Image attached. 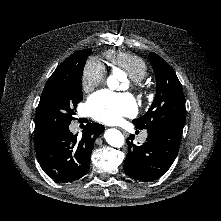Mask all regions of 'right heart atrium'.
<instances>
[{
  "label": "right heart atrium",
  "instance_id": "obj_1",
  "mask_svg": "<svg viewBox=\"0 0 221 221\" xmlns=\"http://www.w3.org/2000/svg\"><path fill=\"white\" fill-rule=\"evenodd\" d=\"M105 66L97 58L86 61L81 72V87L85 92H91L106 80Z\"/></svg>",
  "mask_w": 221,
  "mask_h": 221
}]
</instances>
